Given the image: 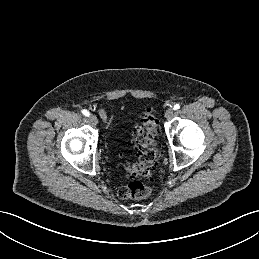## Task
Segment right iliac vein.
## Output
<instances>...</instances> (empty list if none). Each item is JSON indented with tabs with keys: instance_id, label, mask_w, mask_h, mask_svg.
Instances as JSON below:
<instances>
[{
	"instance_id": "63e3f726",
	"label": "right iliac vein",
	"mask_w": 259,
	"mask_h": 259,
	"mask_svg": "<svg viewBox=\"0 0 259 259\" xmlns=\"http://www.w3.org/2000/svg\"><path fill=\"white\" fill-rule=\"evenodd\" d=\"M89 121L93 124L96 125L98 123L97 117L93 114L89 115Z\"/></svg>"
}]
</instances>
